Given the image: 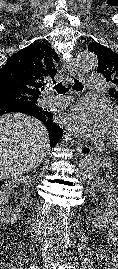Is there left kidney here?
<instances>
[{
    "label": "left kidney",
    "mask_w": 118,
    "mask_h": 269,
    "mask_svg": "<svg viewBox=\"0 0 118 269\" xmlns=\"http://www.w3.org/2000/svg\"><path fill=\"white\" fill-rule=\"evenodd\" d=\"M101 191L106 198L104 205L106 209L103 214L92 218V224L97 229H106L109 224L114 222L115 216L118 212V192L116 188L107 183L105 180L98 178L92 185L90 189V195L95 196V193Z\"/></svg>",
    "instance_id": "1"
}]
</instances>
